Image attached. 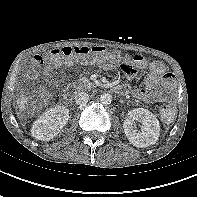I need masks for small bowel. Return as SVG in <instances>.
<instances>
[{"label":"small bowel","mask_w":197,"mask_h":197,"mask_svg":"<svg viewBox=\"0 0 197 197\" xmlns=\"http://www.w3.org/2000/svg\"><path fill=\"white\" fill-rule=\"evenodd\" d=\"M35 64L36 60H34ZM133 63V61H132ZM122 70L125 76L129 79L134 78L136 71L131 65L129 59H125L123 62ZM52 68L46 67L45 73L51 74ZM32 78L36 77L35 72H31ZM128 93H131L137 99L146 103L163 102L170 99V95L174 89L173 76L166 72L164 64L160 61H153L149 65V73L144 79V86L139 89H132L126 86Z\"/></svg>","instance_id":"c3829d8e"}]
</instances>
